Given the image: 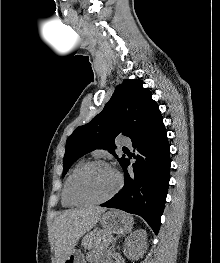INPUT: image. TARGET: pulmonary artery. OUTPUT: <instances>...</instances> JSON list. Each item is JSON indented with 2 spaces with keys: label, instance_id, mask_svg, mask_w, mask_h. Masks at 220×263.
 Segmentation results:
<instances>
[{
  "label": "pulmonary artery",
  "instance_id": "e3ab8cb5",
  "mask_svg": "<svg viewBox=\"0 0 220 263\" xmlns=\"http://www.w3.org/2000/svg\"><path fill=\"white\" fill-rule=\"evenodd\" d=\"M120 142H121L123 145H128V146L131 145V140H130L129 138H127V137H122V138L120 139Z\"/></svg>",
  "mask_w": 220,
  "mask_h": 263
}]
</instances>
